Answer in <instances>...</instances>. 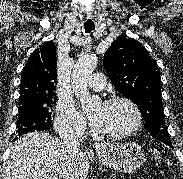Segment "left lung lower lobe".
Wrapping results in <instances>:
<instances>
[{
	"instance_id": "left-lung-lower-lobe-1",
	"label": "left lung lower lobe",
	"mask_w": 183,
	"mask_h": 179,
	"mask_svg": "<svg viewBox=\"0 0 183 179\" xmlns=\"http://www.w3.org/2000/svg\"><path fill=\"white\" fill-rule=\"evenodd\" d=\"M165 144H167V145H169L170 147H172V143H171V142H167V143H165Z\"/></svg>"
}]
</instances>
